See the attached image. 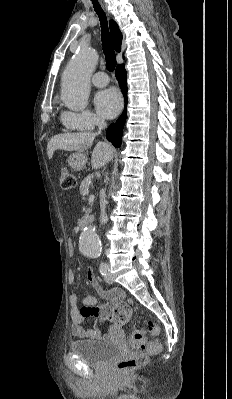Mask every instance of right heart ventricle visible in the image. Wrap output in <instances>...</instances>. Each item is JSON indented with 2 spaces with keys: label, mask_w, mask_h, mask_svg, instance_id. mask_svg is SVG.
<instances>
[{
  "label": "right heart ventricle",
  "mask_w": 232,
  "mask_h": 399,
  "mask_svg": "<svg viewBox=\"0 0 232 399\" xmlns=\"http://www.w3.org/2000/svg\"><path fill=\"white\" fill-rule=\"evenodd\" d=\"M63 126L65 127V131L70 132V133H75V132H80L82 131V129H80L79 127H76L75 125H70L65 123L62 120Z\"/></svg>",
  "instance_id": "obj_1"
}]
</instances>
